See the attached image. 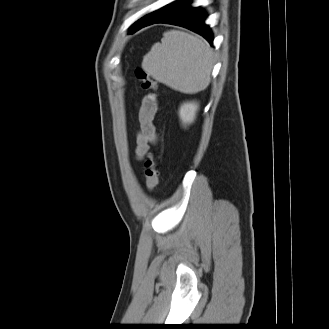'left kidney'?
<instances>
[{
  "label": "left kidney",
  "instance_id": "left-kidney-1",
  "mask_svg": "<svg viewBox=\"0 0 329 329\" xmlns=\"http://www.w3.org/2000/svg\"><path fill=\"white\" fill-rule=\"evenodd\" d=\"M198 108L199 106L196 102H187L180 106L179 117L183 125H189L194 122Z\"/></svg>",
  "mask_w": 329,
  "mask_h": 329
}]
</instances>
